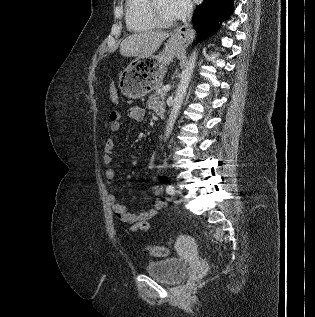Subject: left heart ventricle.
<instances>
[{"mask_svg":"<svg viewBox=\"0 0 315 317\" xmlns=\"http://www.w3.org/2000/svg\"><path fill=\"white\" fill-rule=\"evenodd\" d=\"M156 7L160 17L164 20H174L175 18L169 11L167 0H156Z\"/></svg>","mask_w":315,"mask_h":317,"instance_id":"1","label":"left heart ventricle"}]
</instances>
